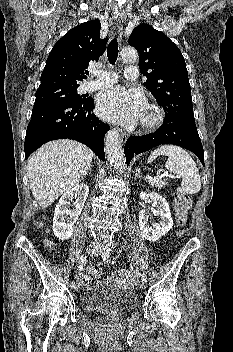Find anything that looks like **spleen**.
Segmentation results:
<instances>
[{"label": "spleen", "mask_w": 233, "mask_h": 352, "mask_svg": "<svg viewBox=\"0 0 233 352\" xmlns=\"http://www.w3.org/2000/svg\"><path fill=\"white\" fill-rule=\"evenodd\" d=\"M158 155L168 156L165 167L181 177V186L185 193L196 194L200 191L201 180L199 171L187 151L175 145H162L151 153L148 163H151Z\"/></svg>", "instance_id": "1"}]
</instances>
